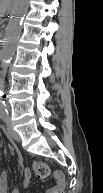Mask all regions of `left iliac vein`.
Instances as JSON below:
<instances>
[{"mask_svg": "<svg viewBox=\"0 0 103 193\" xmlns=\"http://www.w3.org/2000/svg\"><path fill=\"white\" fill-rule=\"evenodd\" d=\"M7 130L11 138H13L16 141H20V136L18 133L12 128L11 124H7Z\"/></svg>", "mask_w": 103, "mask_h": 193, "instance_id": "left-iliac-vein-1", "label": "left iliac vein"}]
</instances>
